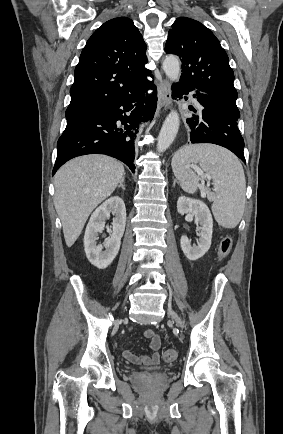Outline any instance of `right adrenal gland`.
<instances>
[{"label": "right adrenal gland", "instance_id": "right-adrenal-gland-1", "mask_svg": "<svg viewBox=\"0 0 283 434\" xmlns=\"http://www.w3.org/2000/svg\"><path fill=\"white\" fill-rule=\"evenodd\" d=\"M124 179H125V177H123L122 178V180L120 181V184H119V186H118V188H122L123 190H125V186H124Z\"/></svg>", "mask_w": 283, "mask_h": 434}]
</instances>
